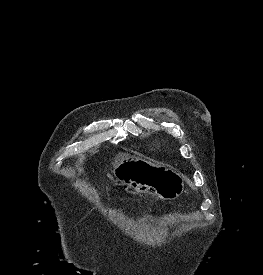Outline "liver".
Segmentation results:
<instances>
[{
    "label": "liver",
    "instance_id": "liver-1",
    "mask_svg": "<svg viewBox=\"0 0 263 275\" xmlns=\"http://www.w3.org/2000/svg\"><path fill=\"white\" fill-rule=\"evenodd\" d=\"M129 155H127V154H120L119 156H117V162L118 161H120V160H122L123 158H126V157H128Z\"/></svg>",
    "mask_w": 263,
    "mask_h": 275
}]
</instances>
